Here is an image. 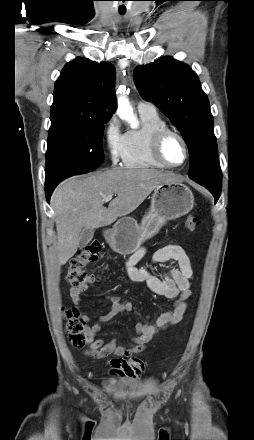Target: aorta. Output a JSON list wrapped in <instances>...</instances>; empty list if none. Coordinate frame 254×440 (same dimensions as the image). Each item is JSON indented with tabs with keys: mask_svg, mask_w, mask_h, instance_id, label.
Wrapping results in <instances>:
<instances>
[{
	"mask_svg": "<svg viewBox=\"0 0 254 440\" xmlns=\"http://www.w3.org/2000/svg\"><path fill=\"white\" fill-rule=\"evenodd\" d=\"M118 115L122 118L130 122L131 127L135 128L137 126V122L133 115V109L129 104L128 99L125 96H121L118 99Z\"/></svg>",
	"mask_w": 254,
	"mask_h": 440,
	"instance_id": "1",
	"label": "aorta"
}]
</instances>
